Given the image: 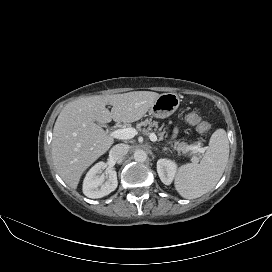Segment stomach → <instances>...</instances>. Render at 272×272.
<instances>
[{"instance_id": "1", "label": "stomach", "mask_w": 272, "mask_h": 272, "mask_svg": "<svg viewBox=\"0 0 272 272\" xmlns=\"http://www.w3.org/2000/svg\"><path fill=\"white\" fill-rule=\"evenodd\" d=\"M180 104L179 96L176 93L161 94L150 108L152 116L164 119L172 115Z\"/></svg>"}]
</instances>
